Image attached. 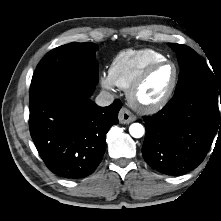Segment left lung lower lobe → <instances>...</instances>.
Instances as JSON below:
<instances>
[{"label": "left lung lower lobe", "mask_w": 221, "mask_h": 221, "mask_svg": "<svg viewBox=\"0 0 221 221\" xmlns=\"http://www.w3.org/2000/svg\"><path fill=\"white\" fill-rule=\"evenodd\" d=\"M144 122L145 161L158 172L172 176L195 169L221 132L218 100L200 90L174 94L160 112L144 117Z\"/></svg>", "instance_id": "0a47b994"}]
</instances>
